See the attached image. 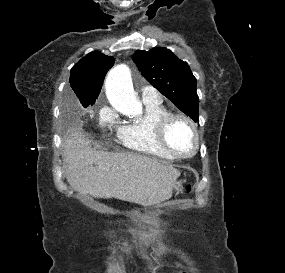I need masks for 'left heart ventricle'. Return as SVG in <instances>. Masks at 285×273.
I'll return each instance as SVG.
<instances>
[{
  "label": "left heart ventricle",
  "mask_w": 285,
  "mask_h": 273,
  "mask_svg": "<svg viewBox=\"0 0 285 273\" xmlns=\"http://www.w3.org/2000/svg\"><path fill=\"white\" fill-rule=\"evenodd\" d=\"M168 141L174 149L185 153L190 152L194 146V137L189 126L180 119L170 125Z\"/></svg>",
  "instance_id": "b2bd125f"
}]
</instances>
